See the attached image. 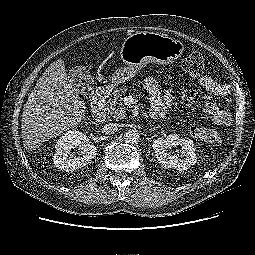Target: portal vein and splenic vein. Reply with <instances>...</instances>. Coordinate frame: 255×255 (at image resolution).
Here are the masks:
<instances>
[{
	"label": "portal vein and splenic vein",
	"mask_w": 255,
	"mask_h": 255,
	"mask_svg": "<svg viewBox=\"0 0 255 255\" xmlns=\"http://www.w3.org/2000/svg\"><path fill=\"white\" fill-rule=\"evenodd\" d=\"M125 101H129V102H133V98L128 96V97H125Z\"/></svg>",
	"instance_id": "portal-vein-and-splenic-vein-1"
}]
</instances>
